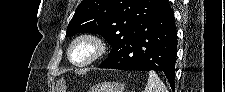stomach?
<instances>
[{
	"label": "stomach",
	"mask_w": 225,
	"mask_h": 92,
	"mask_svg": "<svg viewBox=\"0 0 225 92\" xmlns=\"http://www.w3.org/2000/svg\"><path fill=\"white\" fill-rule=\"evenodd\" d=\"M124 89V84L107 82L93 87L90 92H123Z\"/></svg>",
	"instance_id": "0dacf381"
}]
</instances>
